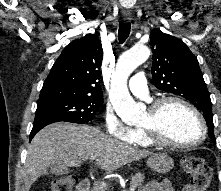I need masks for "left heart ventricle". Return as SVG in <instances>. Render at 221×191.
<instances>
[{
	"label": "left heart ventricle",
	"instance_id": "left-heart-ventricle-1",
	"mask_svg": "<svg viewBox=\"0 0 221 191\" xmlns=\"http://www.w3.org/2000/svg\"><path fill=\"white\" fill-rule=\"evenodd\" d=\"M150 123L148 112L141 124ZM162 131L164 137L172 142L189 143L200 137L201 128L196 117L183 106L168 104L162 114Z\"/></svg>",
	"mask_w": 221,
	"mask_h": 191
}]
</instances>
